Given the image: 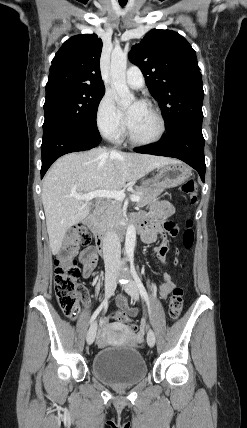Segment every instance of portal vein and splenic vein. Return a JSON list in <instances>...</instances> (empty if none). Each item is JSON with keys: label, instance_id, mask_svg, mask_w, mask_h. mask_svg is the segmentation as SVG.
<instances>
[{"label": "portal vein and splenic vein", "instance_id": "1", "mask_svg": "<svg viewBox=\"0 0 247 428\" xmlns=\"http://www.w3.org/2000/svg\"><path fill=\"white\" fill-rule=\"evenodd\" d=\"M72 196L76 199L84 200L86 202H89L90 200L96 197L112 198L117 201H123L126 197V194L123 191L119 190H96L84 195L72 194ZM130 199L133 202H138L140 200V197L134 194L130 196Z\"/></svg>", "mask_w": 247, "mask_h": 428}]
</instances>
